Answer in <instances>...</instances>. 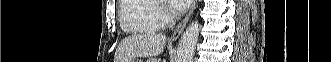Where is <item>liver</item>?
<instances>
[{"mask_svg":"<svg viewBox=\"0 0 331 62\" xmlns=\"http://www.w3.org/2000/svg\"><path fill=\"white\" fill-rule=\"evenodd\" d=\"M166 36L144 32L124 38L117 47L114 62H130L137 57L158 56L164 51Z\"/></svg>","mask_w":331,"mask_h":62,"instance_id":"1","label":"liver"}]
</instances>
